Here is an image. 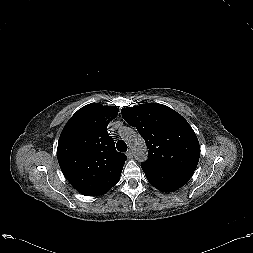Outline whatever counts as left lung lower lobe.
<instances>
[{
	"mask_svg": "<svg viewBox=\"0 0 253 253\" xmlns=\"http://www.w3.org/2000/svg\"><path fill=\"white\" fill-rule=\"evenodd\" d=\"M141 168L149 183L163 192H173L185 185L194 171L178 167H159L142 163Z\"/></svg>",
	"mask_w": 253,
	"mask_h": 253,
	"instance_id": "left-lung-lower-lobe-1",
	"label": "left lung lower lobe"
}]
</instances>
